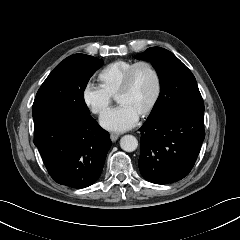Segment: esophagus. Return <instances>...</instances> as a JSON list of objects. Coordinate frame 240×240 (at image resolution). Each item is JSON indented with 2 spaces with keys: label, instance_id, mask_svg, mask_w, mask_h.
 <instances>
[{
  "label": "esophagus",
  "instance_id": "1",
  "mask_svg": "<svg viewBox=\"0 0 240 240\" xmlns=\"http://www.w3.org/2000/svg\"><path fill=\"white\" fill-rule=\"evenodd\" d=\"M119 134L111 133L110 138L112 142H115L119 138Z\"/></svg>",
  "mask_w": 240,
  "mask_h": 240
}]
</instances>
